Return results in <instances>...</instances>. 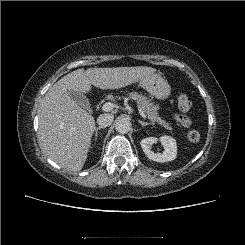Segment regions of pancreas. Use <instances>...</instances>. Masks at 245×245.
Listing matches in <instances>:
<instances>
[{"instance_id": "1", "label": "pancreas", "mask_w": 245, "mask_h": 245, "mask_svg": "<svg viewBox=\"0 0 245 245\" xmlns=\"http://www.w3.org/2000/svg\"><path fill=\"white\" fill-rule=\"evenodd\" d=\"M128 97L131 99L136 100L139 107L145 113L146 117L151 121V124H160L164 128L171 130L170 123L166 122L165 120L161 119L159 116L158 110L159 106L151 102L146 96L139 94L137 92H131L128 94Z\"/></svg>"}]
</instances>
